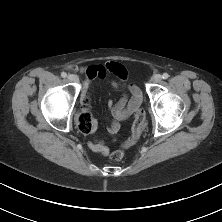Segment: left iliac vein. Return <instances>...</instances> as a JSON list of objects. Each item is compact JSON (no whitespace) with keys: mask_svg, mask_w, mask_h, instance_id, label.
I'll return each instance as SVG.
<instances>
[{"mask_svg":"<svg viewBox=\"0 0 222 222\" xmlns=\"http://www.w3.org/2000/svg\"><path fill=\"white\" fill-rule=\"evenodd\" d=\"M151 80H152L153 83H159V82L162 80V77H161L160 74H156V75H154V76L152 77Z\"/></svg>","mask_w":222,"mask_h":222,"instance_id":"left-iliac-vein-1","label":"left iliac vein"}]
</instances>
